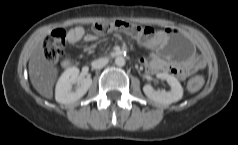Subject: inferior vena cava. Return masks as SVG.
Here are the masks:
<instances>
[{
  "label": "inferior vena cava",
  "instance_id": "inferior-vena-cava-1",
  "mask_svg": "<svg viewBox=\"0 0 238 145\" xmlns=\"http://www.w3.org/2000/svg\"><path fill=\"white\" fill-rule=\"evenodd\" d=\"M108 61H109L108 58H99L97 60H94L92 62V68L101 69L107 65Z\"/></svg>",
  "mask_w": 238,
  "mask_h": 145
}]
</instances>
